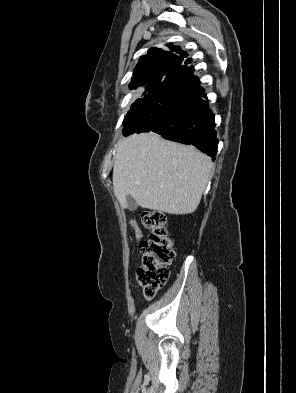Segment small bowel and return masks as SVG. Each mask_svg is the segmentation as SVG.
I'll return each instance as SVG.
<instances>
[{
    "label": "small bowel",
    "instance_id": "c3829d8e",
    "mask_svg": "<svg viewBox=\"0 0 296 393\" xmlns=\"http://www.w3.org/2000/svg\"><path fill=\"white\" fill-rule=\"evenodd\" d=\"M152 297H147V299H151Z\"/></svg>",
    "mask_w": 296,
    "mask_h": 393
}]
</instances>
